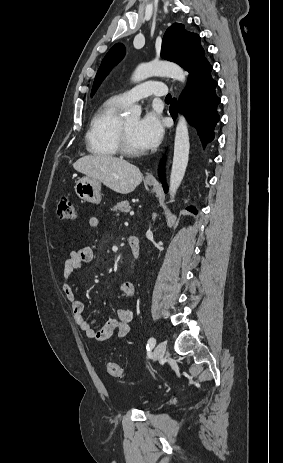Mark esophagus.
Returning <instances> with one entry per match:
<instances>
[{
    "label": "esophagus",
    "instance_id": "esophagus-1",
    "mask_svg": "<svg viewBox=\"0 0 283 463\" xmlns=\"http://www.w3.org/2000/svg\"><path fill=\"white\" fill-rule=\"evenodd\" d=\"M145 180L148 182H156V178L153 173H148L145 177Z\"/></svg>",
    "mask_w": 283,
    "mask_h": 463
}]
</instances>
